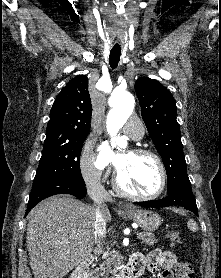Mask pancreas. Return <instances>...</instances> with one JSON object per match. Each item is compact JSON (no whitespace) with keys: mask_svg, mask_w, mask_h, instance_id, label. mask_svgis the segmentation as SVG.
<instances>
[{"mask_svg":"<svg viewBox=\"0 0 221 278\" xmlns=\"http://www.w3.org/2000/svg\"><path fill=\"white\" fill-rule=\"evenodd\" d=\"M138 237L142 240L145 245L153 246L156 243L155 236L152 233L141 232L138 233ZM122 257L115 253L110 252L104 255V261L99 266L96 267L94 273L96 274L95 278L107 277L108 273L112 272V267L118 268L121 265Z\"/></svg>","mask_w":221,"mask_h":278,"instance_id":"obj_1","label":"pancreas"}]
</instances>
